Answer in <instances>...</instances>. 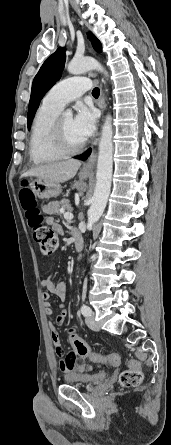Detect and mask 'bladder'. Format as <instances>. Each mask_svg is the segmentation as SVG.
Listing matches in <instances>:
<instances>
[{
	"label": "bladder",
	"mask_w": 171,
	"mask_h": 445,
	"mask_svg": "<svg viewBox=\"0 0 171 445\" xmlns=\"http://www.w3.org/2000/svg\"><path fill=\"white\" fill-rule=\"evenodd\" d=\"M106 376L105 372L98 373H67L64 376L65 381L68 384L74 385H89L97 383L103 380Z\"/></svg>",
	"instance_id": "31cf9c89"
}]
</instances>
